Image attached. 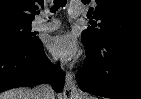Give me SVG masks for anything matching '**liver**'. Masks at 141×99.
Here are the masks:
<instances>
[{
  "instance_id": "liver-1",
  "label": "liver",
  "mask_w": 141,
  "mask_h": 99,
  "mask_svg": "<svg viewBox=\"0 0 141 99\" xmlns=\"http://www.w3.org/2000/svg\"><path fill=\"white\" fill-rule=\"evenodd\" d=\"M0 99H35L34 89L31 88H15L0 94Z\"/></svg>"
}]
</instances>
